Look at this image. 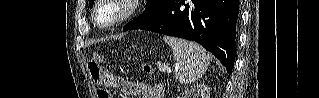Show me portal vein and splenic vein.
<instances>
[{
    "label": "portal vein and splenic vein",
    "instance_id": "1",
    "mask_svg": "<svg viewBox=\"0 0 319 98\" xmlns=\"http://www.w3.org/2000/svg\"><path fill=\"white\" fill-rule=\"evenodd\" d=\"M159 70L160 71H168V72H170L171 70H170V67L168 66V65H160L159 64Z\"/></svg>",
    "mask_w": 319,
    "mask_h": 98
}]
</instances>
